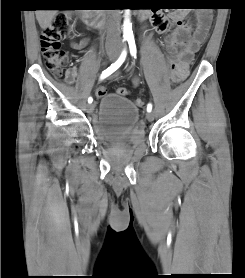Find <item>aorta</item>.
<instances>
[{
    "label": "aorta",
    "instance_id": "762f6f07",
    "mask_svg": "<svg viewBox=\"0 0 245 278\" xmlns=\"http://www.w3.org/2000/svg\"><path fill=\"white\" fill-rule=\"evenodd\" d=\"M125 12H126V18L123 25V34L124 37H128L131 36L133 32H132V24L130 23L129 20V9H126Z\"/></svg>",
    "mask_w": 245,
    "mask_h": 278
}]
</instances>
